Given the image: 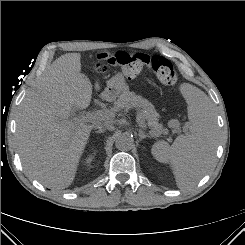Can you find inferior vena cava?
Masks as SVG:
<instances>
[{
  "mask_svg": "<svg viewBox=\"0 0 245 245\" xmlns=\"http://www.w3.org/2000/svg\"><path fill=\"white\" fill-rule=\"evenodd\" d=\"M94 128H98V129L105 128V129L110 130V131H112V130L115 129V127L113 125H110V124H107V123L106 124H103V125L96 124V125H94Z\"/></svg>",
  "mask_w": 245,
  "mask_h": 245,
  "instance_id": "602c4592",
  "label": "inferior vena cava"
}]
</instances>
